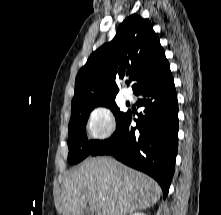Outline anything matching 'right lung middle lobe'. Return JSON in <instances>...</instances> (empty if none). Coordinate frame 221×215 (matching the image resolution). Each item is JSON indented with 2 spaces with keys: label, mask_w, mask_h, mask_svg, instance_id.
<instances>
[{
  "label": "right lung middle lobe",
  "mask_w": 221,
  "mask_h": 215,
  "mask_svg": "<svg viewBox=\"0 0 221 215\" xmlns=\"http://www.w3.org/2000/svg\"><path fill=\"white\" fill-rule=\"evenodd\" d=\"M97 106L110 108L116 118L118 125L126 113L120 112L115 103V99H110L94 103H82L71 105V119L68 131V161L76 164L89 156L103 141H88L85 128L90 112Z\"/></svg>",
  "instance_id": "right-lung-middle-lobe-1"
}]
</instances>
